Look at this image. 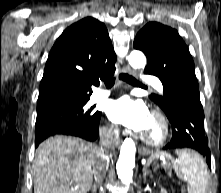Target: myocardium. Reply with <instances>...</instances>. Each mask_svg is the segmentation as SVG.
<instances>
[{
    "mask_svg": "<svg viewBox=\"0 0 221 193\" xmlns=\"http://www.w3.org/2000/svg\"><path fill=\"white\" fill-rule=\"evenodd\" d=\"M151 115L157 119V121L159 122L161 126L160 136L158 138H151L141 131L139 135H140V138L148 145L161 146L164 143H166V141L169 138V125L164 115L158 110H152Z\"/></svg>",
    "mask_w": 221,
    "mask_h": 193,
    "instance_id": "myocardium-1",
    "label": "myocardium"
}]
</instances>
